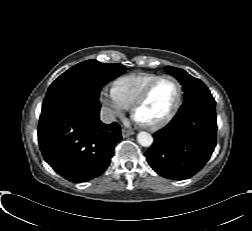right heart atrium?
Wrapping results in <instances>:
<instances>
[{"label":"right heart atrium","instance_id":"1","mask_svg":"<svg viewBox=\"0 0 252 231\" xmlns=\"http://www.w3.org/2000/svg\"><path fill=\"white\" fill-rule=\"evenodd\" d=\"M100 102L104 108V116L108 121L123 117L130 109V106L118 96L114 87L101 92Z\"/></svg>","mask_w":252,"mask_h":231}]
</instances>
